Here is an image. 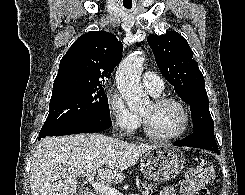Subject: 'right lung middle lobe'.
Segmentation results:
<instances>
[{
  "mask_svg": "<svg viewBox=\"0 0 245 195\" xmlns=\"http://www.w3.org/2000/svg\"><path fill=\"white\" fill-rule=\"evenodd\" d=\"M98 115L110 116L104 87L55 91L52 93L49 114L39 137L48 136L60 128Z\"/></svg>",
  "mask_w": 245,
  "mask_h": 195,
  "instance_id": "obj_1",
  "label": "right lung middle lobe"
}]
</instances>
